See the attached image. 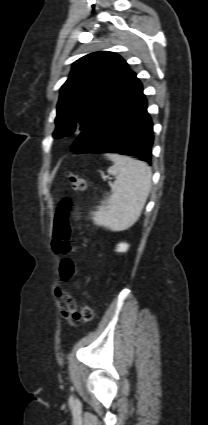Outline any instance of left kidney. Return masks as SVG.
<instances>
[{"label":"left kidney","mask_w":208,"mask_h":425,"mask_svg":"<svg viewBox=\"0 0 208 425\" xmlns=\"http://www.w3.org/2000/svg\"><path fill=\"white\" fill-rule=\"evenodd\" d=\"M129 245L126 243L118 244L117 251L118 252H126L128 250Z\"/></svg>","instance_id":"left-kidney-1"}]
</instances>
